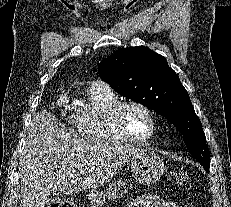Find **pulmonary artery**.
<instances>
[{
    "mask_svg": "<svg viewBox=\"0 0 231 207\" xmlns=\"http://www.w3.org/2000/svg\"><path fill=\"white\" fill-rule=\"evenodd\" d=\"M99 83H101V82H99V81H96V82H94L93 84H99Z\"/></svg>",
    "mask_w": 231,
    "mask_h": 207,
    "instance_id": "e3ab8cb5",
    "label": "pulmonary artery"
}]
</instances>
